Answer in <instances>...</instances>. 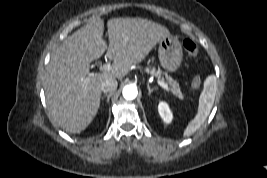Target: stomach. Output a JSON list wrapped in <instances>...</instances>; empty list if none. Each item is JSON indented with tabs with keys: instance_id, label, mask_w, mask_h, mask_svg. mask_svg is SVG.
I'll return each mask as SVG.
<instances>
[{
	"instance_id": "stomach-1",
	"label": "stomach",
	"mask_w": 267,
	"mask_h": 178,
	"mask_svg": "<svg viewBox=\"0 0 267 178\" xmlns=\"http://www.w3.org/2000/svg\"><path fill=\"white\" fill-rule=\"evenodd\" d=\"M158 56L161 66L169 72H175L182 63L183 51L180 41L168 35L159 41Z\"/></svg>"
}]
</instances>
